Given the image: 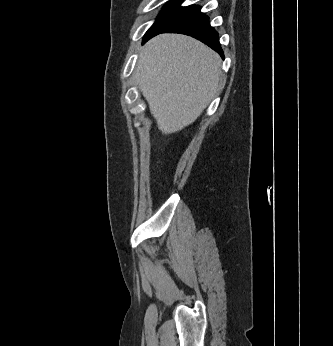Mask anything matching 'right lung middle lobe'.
I'll list each match as a JSON object with an SVG mask.
<instances>
[{
	"mask_svg": "<svg viewBox=\"0 0 333 346\" xmlns=\"http://www.w3.org/2000/svg\"><path fill=\"white\" fill-rule=\"evenodd\" d=\"M181 3L182 0H173L167 3L157 17L155 23L146 32L144 38L152 33H156L165 29L184 8L181 7Z\"/></svg>",
	"mask_w": 333,
	"mask_h": 346,
	"instance_id": "dd1d6c3e",
	"label": "right lung middle lobe"
}]
</instances>
